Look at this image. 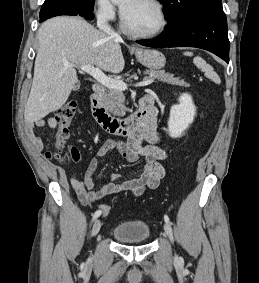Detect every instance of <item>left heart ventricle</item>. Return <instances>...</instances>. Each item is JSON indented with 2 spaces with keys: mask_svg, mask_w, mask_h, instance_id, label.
I'll use <instances>...</instances> for the list:
<instances>
[{
  "mask_svg": "<svg viewBox=\"0 0 259 283\" xmlns=\"http://www.w3.org/2000/svg\"><path fill=\"white\" fill-rule=\"evenodd\" d=\"M123 15L127 25L137 32H152L161 24L157 8L147 0H132Z\"/></svg>",
  "mask_w": 259,
  "mask_h": 283,
  "instance_id": "left-heart-ventricle-1",
  "label": "left heart ventricle"
}]
</instances>
